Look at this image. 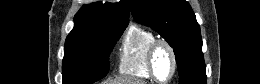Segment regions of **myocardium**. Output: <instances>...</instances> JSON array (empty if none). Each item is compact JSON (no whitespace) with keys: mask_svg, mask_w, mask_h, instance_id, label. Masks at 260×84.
<instances>
[{"mask_svg":"<svg viewBox=\"0 0 260 84\" xmlns=\"http://www.w3.org/2000/svg\"><path fill=\"white\" fill-rule=\"evenodd\" d=\"M166 48L168 50V52L170 53L171 56V61H172V69H171V73L170 75L164 79V80H160L157 75H156V70H155V56L158 52V50L160 48ZM147 66H148V70L149 73L151 75V78L158 82V83H168L170 82L178 69V59H177V55H176V51L174 49V47L164 38H156L152 44L149 46L148 49V61H147Z\"/></svg>","mask_w":260,"mask_h":84,"instance_id":"1","label":"myocardium"}]
</instances>
